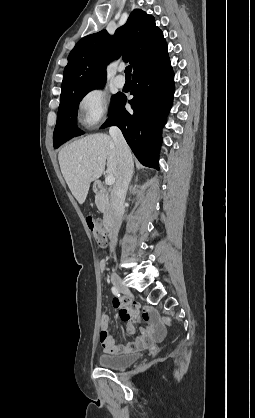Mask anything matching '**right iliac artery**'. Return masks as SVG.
<instances>
[{
    "label": "right iliac artery",
    "mask_w": 255,
    "mask_h": 418,
    "mask_svg": "<svg viewBox=\"0 0 255 418\" xmlns=\"http://www.w3.org/2000/svg\"><path fill=\"white\" fill-rule=\"evenodd\" d=\"M111 290H112V293L115 295V296H120V293H119V291H118V289L116 288V287H112L111 288Z\"/></svg>",
    "instance_id": "1"
}]
</instances>
